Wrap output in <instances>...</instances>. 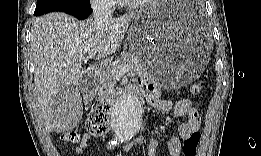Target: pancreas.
Here are the masks:
<instances>
[{
	"instance_id": "pancreas-1",
	"label": "pancreas",
	"mask_w": 261,
	"mask_h": 156,
	"mask_svg": "<svg viewBox=\"0 0 261 156\" xmlns=\"http://www.w3.org/2000/svg\"><path fill=\"white\" fill-rule=\"evenodd\" d=\"M129 65L132 67L131 71L135 74L147 73V66L141 60L139 55L135 52H128L121 55V57L112 61L103 72L101 77L102 88L105 93H115L114 86L116 83L115 68L118 66Z\"/></svg>"
}]
</instances>
